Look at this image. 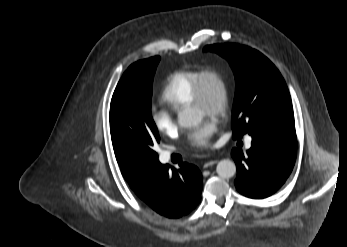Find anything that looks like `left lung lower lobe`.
I'll use <instances>...</instances> for the list:
<instances>
[{
    "instance_id": "left-lung-lower-lobe-1",
    "label": "left lung lower lobe",
    "mask_w": 347,
    "mask_h": 247,
    "mask_svg": "<svg viewBox=\"0 0 347 247\" xmlns=\"http://www.w3.org/2000/svg\"><path fill=\"white\" fill-rule=\"evenodd\" d=\"M246 154L234 148L237 190L250 198L262 199L275 193L290 175L297 151L296 133L286 129L264 130L251 135Z\"/></svg>"
}]
</instances>
